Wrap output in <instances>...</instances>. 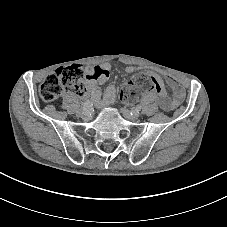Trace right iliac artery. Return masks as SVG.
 Returning <instances> with one entry per match:
<instances>
[{"label":"right iliac artery","mask_w":227,"mask_h":227,"mask_svg":"<svg viewBox=\"0 0 227 227\" xmlns=\"http://www.w3.org/2000/svg\"><path fill=\"white\" fill-rule=\"evenodd\" d=\"M83 108H84V113L85 114H90L91 113V108H92V104H91V102L88 100V101H86L85 103H84V106H83Z\"/></svg>","instance_id":"82829eb1"}]
</instances>
